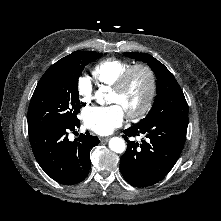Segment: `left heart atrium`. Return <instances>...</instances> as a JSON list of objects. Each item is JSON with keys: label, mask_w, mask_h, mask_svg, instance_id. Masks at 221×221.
<instances>
[{"label": "left heart atrium", "mask_w": 221, "mask_h": 221, "mask_svg": "<svg viewBox=\"0 0 221 221\" xmlns=\"http://www.w3.org/2000/svg\"><path fill=\"white\" fill-rule=\"evenodd\" d=\"M124 118V110L119 104L89 107L83 114L85 126L99 135L110 134L123 124Z\"/></svg>", "instance_id": "obj_1"}]
</instances>
